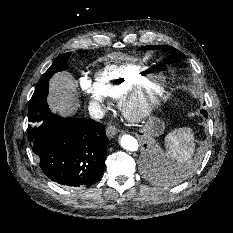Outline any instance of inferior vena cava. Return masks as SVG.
<instances>
[{"label": "inferior vena cava", "instance_id": "1", "mask_svg": "<svg viewBox=\"0 0 233 233\" xmlns=\"http://www.w3.org/2000/svg\"><path fill=\"white\" fill-rule=\"evenodd\" d=\"M89 111L90 115L95 119H102L105 115L104 109L98 103H93Z\"/></svg>", "mask_w": 233, "mask_h": 233}]
</instances>
